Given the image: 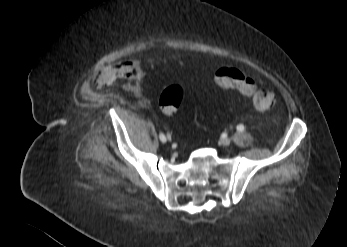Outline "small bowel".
<instances>
[{"mask_svg": "<svg viewBox=\"0 0 347 247\" xmlns=\"http://www.w3.org/2000/svg\"><path fill=\"white\" fill-rule=\"evenodd\" d=\"M142 72L133 61H127L116 65H109L95 76L96 85L108 84L116 79H124L127 87L133 92H139L142 86Z\"/></svg>", "mask_w": 347, "mask_h": 247, "instance_id": "small-bowel-1", "label": "small bowel"}]
</instances>
